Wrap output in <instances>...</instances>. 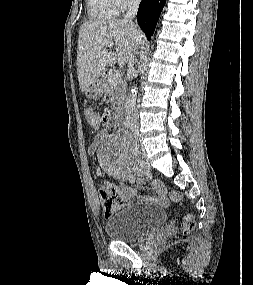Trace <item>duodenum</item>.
I'll use <instances>...</instances> for the list:
<instances>
[{"label": "duodenum", "mask_w": 253, "mask_h": 285, "mask_svg": "<svg viewBox=\"0 0 253 285\" xmlns=\"http://www.w3.org/2000/svg\"><path fill=\"white\" fill-rule=\"evenodd\" d=\"M97 89H100V85H97ZM122 109H118L116 112L111 114L110 120L114 126L118 125L122 120Z\"/></svg>", "instance_id": "obj_1"}]
</instances>
